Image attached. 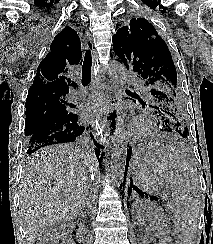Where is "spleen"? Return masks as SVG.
<instances>
[{
	"mask_svg": "<svg viewBox=\"0 0 213 244\" xmlns=\"http://www.w3.org/2000/svg\"><path fill=\"white\" fill-rule=\"evenodd\" d=\"M156 168L170 182L173 190L174 228L181 244H194L201 215L199 182L191 165L180 155L156 150Z\"/></svg>",
	"mask_w": 213,
	"mask_h": 244,
	"instance_id": "3e777b00",
	"label": "spleen"
}]
</instances>
